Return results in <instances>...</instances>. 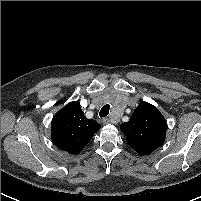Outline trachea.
I'll use <instances>...</instances> for the list:
<instances>
[{
  "instance_id": "obj_1",
  "label": "trachea",
  "mask_w": 201,
  "mask_h": 201,
  "mask_svg": "<svg viewBox=\"0 0 201 201\" xmlns=\"http://www.w3.org/2000/svg\"><path fill=\"white\" fill-rule=\"evenodd\" d=\"M109 110H110V105L109 104L104 105L99 112V116L100 117L107 116L109 114Z\"/></svg>"
}]
</instances>
